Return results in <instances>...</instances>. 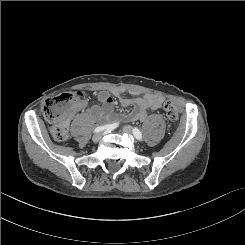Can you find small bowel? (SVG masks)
<instances>
[{"instance_id":"1","label":"small bowel","mask_w":245,"mask_h":245,"mask_svg":"<svg viewBox=\"0 0 245 245\" xmlns=\"http://www.w3.org/2000/svg\"><path fill=\"white\" fill-rule=\"evenodd\" d=\"M120 105L122 107H132V111L124 116L127 121H144L147 118L148 110H157L161 108L163 97L157 94L147 93L141 97L129 98L120 96ZM98 105L89 110V115L94 120L107 119L113 112L114 100L107 91H102L97 96ZM83 104H81L82 106Z\"/></svg>"}]
</instances>
